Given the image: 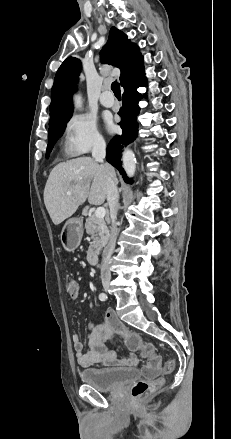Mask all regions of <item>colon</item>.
Here are the masks:
<instances>
[{
    "mask_svg": "<svg viewBox=\"0 0 231 439\" xmlns=\"http://www.w3.org/2000/svg\"><path fill=\"white\" fill-rule=\"evenodd\" d=\"M66 291L70 297H77V282L73 279H68L66 282ZM123 337L129 349L139 350L146 358L141 368L143 378L134 382L131 387V396L134 399H140L162 383L163 375L173 370L174 360L169 359L162 364L161 357L155 353L154 348L150 344L144 343L138 334L127 331Z\"/></svg>",
    "mask_w": 231,
    "mask_h": 439,
    "instance_id": "1",
    "label": "colon"
}]
</instances>
